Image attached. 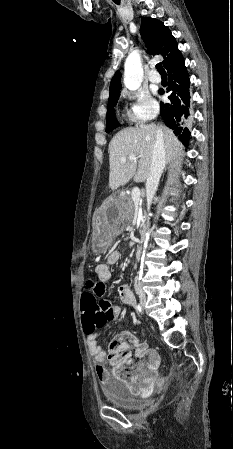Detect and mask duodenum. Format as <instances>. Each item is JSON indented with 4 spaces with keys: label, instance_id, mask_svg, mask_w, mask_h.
Instances as JSON below:
<instances>
[{
    "label": "duodenum",
    "instance_id": "410a0bca",
    "mask_svg": "<svg viewBox=\"0 0 233 449\" xmlns=\"http://www.w3.org/2000/svg\"><path fill=\"white\" fill-rule=\"evenodd\" d=\"M133 254L136 259H140L142 256V246L137 245L133 251Z\"/></svg>",
    "mask_w": 233,
    "mask_h": 449
}]
</instances>
